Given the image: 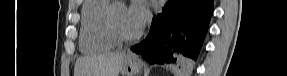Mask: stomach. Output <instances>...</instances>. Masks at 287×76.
<instances>
[{"mask_svg":"<svg viewBox=\"0 0 287 76\" xmlns=\"http://www.w3.org/2000/svg\"><path fill=\"white\" fill-rule=\"evenodd\" d=\"M141 62L133 55H126L121 65V76H137L141 70Z\"/></svg>","mask_w":287,"mask_h":76,"instance_id":"stomach-1","label":"stomach"}]
</instances>
